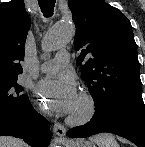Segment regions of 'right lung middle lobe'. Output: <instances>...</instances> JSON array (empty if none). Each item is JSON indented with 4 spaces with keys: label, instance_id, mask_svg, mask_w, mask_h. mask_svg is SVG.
<instances>
[{
    "label": "right lung middle lobe",
    "instance_id": "obj_1",
    "mask_svg": "<svg viewBox=\"0 0 145 147\" xmlns=\"http://www.w3.org/2000/svg\"><path fill=\"white\" fill-rule=\"evenodd\" d=\"M17 79V75L0 78V113L23 110L29 102Z\"/></svg>",
    "mask_w": 145,
    "mask_h": 147
}]
</instances>
